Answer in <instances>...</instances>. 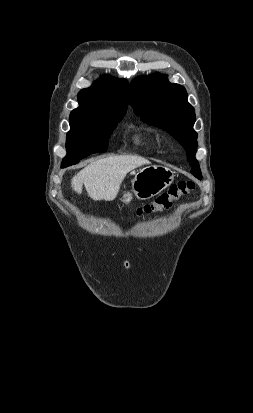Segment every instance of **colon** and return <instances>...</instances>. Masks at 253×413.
I'll return each mask as SVG.
<instances>
[{"mask_svg": "<svg viewBox=\"0 0 253 413\" xmlns=\"http://www.w3.org/2000/svg\"><path fill=\"white\" fill-rule=\"evenodd\" d=\"M194 188L195 184L192 181H179L173 184L166 192L159 195L151 204L138 208L130 218L137 220L168 209L180 197L190 194Z\"/></svg>", "mask_w": 253, "mask_h": 413, "instance_id": "1", "label": "colon"}]
</instances>
